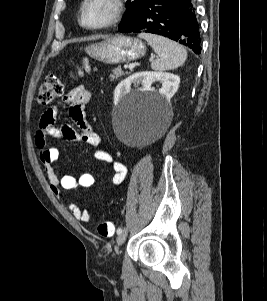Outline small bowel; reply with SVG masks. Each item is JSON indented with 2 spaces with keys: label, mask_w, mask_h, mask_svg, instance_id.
Returning a JSON list of instances; mask_svg holds the SVG:
<instances>
[{
  "label": "small bowel",
  "mask_w": 267,
  "mask_h": 301,
  "mask_svg": "<svg viewBox=\"0 0 267 301\" xmlns=\"http://www.w3.org/2000/svg\"><path fill=\"white\" fill-rule=\"evenodd\" d=\"M90 98V90L84 85H78L64 95L61 103L48 108L41 116L35 143L50 188L56 196L60 195L62 189L74 190L79 187H90L95 180L90 173H83L79 177L69 174L61 176L55 165L59 157V150L56 145L49 142L50 138L71 142L82 141L96 148L95 158L113 168L111 177L113 185L121 184L126 177V166L116 160L108 148H100V137L86 119L85 106L90 101ZM62 105H68L69 116L75 127L71 125H56L58 112ZM69 210L76 220L84 223L90 222L91 214L76 204L70 203Z\"/></svg>",
  "instance_id": "small-bowel-1"
}]
</instances>
